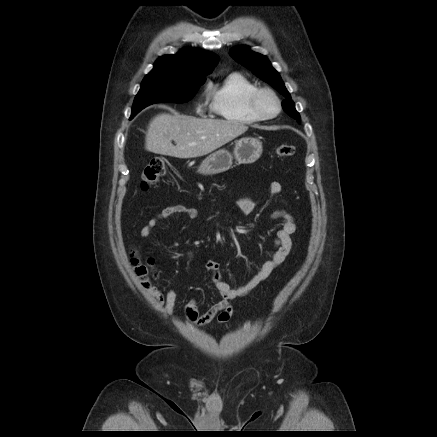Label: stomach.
Returning a JSON list of instances; mask_svg holds the SVG:
<instances>
[{
  "label": "stomach",
  "mask_w": 437,
  "mask_h": 437,
  "mask_svg": "<svg viewBox=\"0 0 437 437\" xmlns=\"http://www.w3.org/2000/svg\"><path fill=\"white\" fill-rule=\"evenodd\" d=\"M262 142L256 138H242L235 143L233 154L220 149L202 161L197 172L202 175H214L225 172L232 166L233 156L242 164L258 160L262 154Z\"/></svg>",
  "instance_id": "stomach-1"
}]
</instances>
